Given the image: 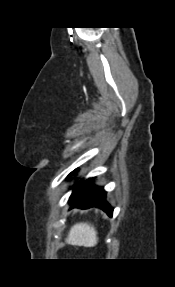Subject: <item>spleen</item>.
<instances>
[{
    "mask_svg": "<svg viewBox=\"0 0 175 287\" xmlns=\"http://www.w3.org/2000/svg\"><path fill=\"white\" fill-rule=\"evenodd\" d=\"M66 242L75 246L93 247L98 242L97 231L89 223H76L71 227Z\"/></svg>",
    "mask_w": 175,
    "mask_h": 287,
    "instance_id": "3e777b00",
    "label": "spleen"
}]
</instances>
